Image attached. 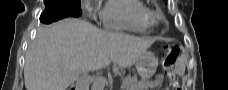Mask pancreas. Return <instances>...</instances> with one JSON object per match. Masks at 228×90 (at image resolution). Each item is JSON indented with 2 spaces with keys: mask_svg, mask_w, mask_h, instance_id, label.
Wrapping results in <instances>:
<instances>
[{
  "mask_svg": "<svg viewBox=\"0 0 228 90\" xmlns=\"http://www.w3.org/2000/svg\"><path fill=\"white\" fill-rule=\"evenodd\" d=\"M160 80L147 81V80H138L133 77H126L122 82V90H149L157 87L160 84Z\"/></svg>",
  "mask_w": 228,
  "mask_h": 90,
  "instance_id": "cf45deb5",
  "label": "pancreas"
}]
</instances>
